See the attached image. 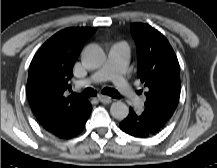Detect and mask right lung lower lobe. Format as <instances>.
<instances>
[{
  "label": "right lung lower lobe",
  "instance_id": "1",
  "mask_svg": "<svg viewBox=\"0 0 217 168\" xmlns=\"http://www.w3.org/2000/svg\"><path fill=\"white\" fill-rule=\"evenodd\" d=\"M91 110L92 106H90L89 110H87L82 116H80V118L73 121L71 125L52 134L60 139H70L77 136L83 131L85 123L90 116Z\"/></svg>",
  "mask_w": 217,
  "mask_h": 168
}]
</instances>
